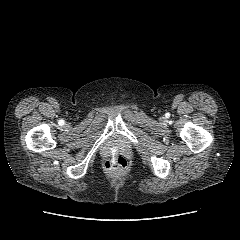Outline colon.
<instances>
[{"instance_id": "5ec220e1", "label": "colon", "mask_w": 240, "mask_h": 240, "mask_svg": "<svg viewBox=\"0 0 240 240\" xmlns=\"http://www.w3.org/2000/svg\"><path fill=\"white\" fill-rule=\"evenodd\" d=\"M128 166L126 158L120 154H115L105 163V168L108 171H122Z\"/></svg>"}]
</instances>
